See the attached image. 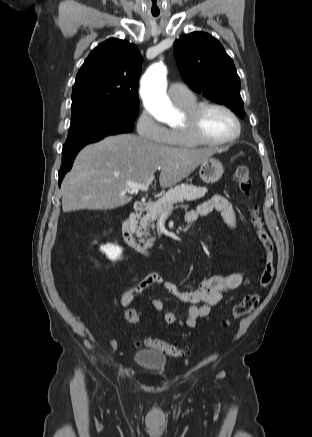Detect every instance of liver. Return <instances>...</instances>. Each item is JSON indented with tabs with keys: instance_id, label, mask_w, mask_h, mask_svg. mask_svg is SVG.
<instances>
[{
	"instance_id": "liver-1",
	"label": "liver",
	"mask_w": 312,
	"mask_h": 437,
	"mask_svg": "<svg viewBox=\"0 0 312 437\" xmlns=\"http://www.w3.org/2000/svg\"><path fill=\"white\" fill-rule=\"evenodd\" d=\"M216 152L171 147L132 134L108 136L77 155L62 182L63 211L124 206L132 200L126 195V181L143 182L161 169L160 186L172 187Z\"/></svg>"
}]
</instances>
